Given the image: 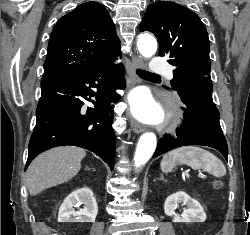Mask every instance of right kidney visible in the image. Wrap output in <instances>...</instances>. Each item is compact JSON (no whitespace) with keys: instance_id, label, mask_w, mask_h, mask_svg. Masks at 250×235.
Listing matches in <instances>:
<instances>
[{"instance_id":"ca27d5eb","label":"right kidney","mask_w":250,"mask_h":235,"mask_svg":"<svg viewBox=\"0 0 250 235\" xmlns=\"http://www.w3.org/2000/svg\"><path fill=\"white\" fill-rule=\"evenodd\" d=\"M84 205L78 211L74 207ZM98 205L93 192L88 187L80 188L69 194L59 208V222H95Z\"/></svg>"}]
</instances>
